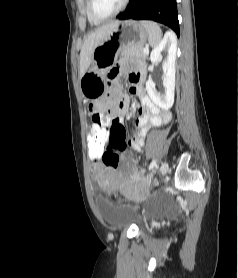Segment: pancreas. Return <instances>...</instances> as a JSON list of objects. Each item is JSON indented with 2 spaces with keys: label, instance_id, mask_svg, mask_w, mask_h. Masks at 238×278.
<instances>
[{
  "label": "pancreas",
  "instance_id": "cf45deb5",
  "mask_svg": "<svg viewBox=\"0 0 238 278\" xmlns=\"http://www.w3.org/2000/svg\"><path fill=\"white\" fill-rule=\"evenodd\" d=\"M143 50V45H129L122 49L121 56L145 59L147 57V54H144Z\"/></svg>",
  "mask_w": 238,
  "mask_h": 278
}]
</instances>
